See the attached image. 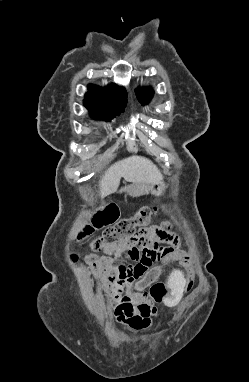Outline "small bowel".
<instances>
[{"mask_svg": "<svg viewBox=\"0 0 249 382\" xmlns=\"http://www.w3.org/2000/svg\"><path fill=\"white\" fill-rule=\"evenodd\" d=\"M138 238H141L140 241L125 240L107 245L101 255L88 254L85 256V261L103 290L114 319L132 329L144 330L151 326L155 305H159L161 301L159 298L152 299L143 292L152 282H142L130 277L127 271L131 265L116 263L127 250L130 255L127 259L130 262H140L143 257V250L140 248H157L163 244L161 248L175 251L179 245V237L171 230V223L164 221L159 225L140 230Z\"/></svg>", "mask_w": 249, "mask_h": 382, "instance_id": "small-bowel-1", "label": "small bowel"}]
</instances>
